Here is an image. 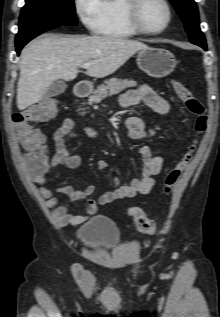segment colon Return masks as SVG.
<instances>
[{"label":"colon","mask_w":220,"mask_h":317,"mask_svg":"<svg viewBox=\"0 0 220 317\" xmlns=\"http://www.w3.org/2000/svg\"><path fill=\"white\" fill-rule=\"evenodd\" d=\"M174 91L184 107L195 116V130L203 134L208 125L204 105L192 94L189 88L179 80H174ZM57 112V103L49 98L42 100L13 116V123L21 145L26 150L25 163L34 169L41 170L47 163L45 141L42 133L32 126L34 122H45L52 119ZM196 150V143L191 146L183 159L166 175L165 192L170 193L182 173L191 163ZM128 215L142 233L154 234L156 226L139 207H131Z\"/></svg>","instance_id":"5ec220e1"}]
</instances>
